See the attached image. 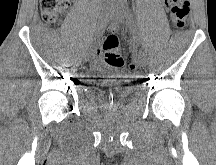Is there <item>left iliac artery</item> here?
Returning a JSON list of instances; mask_svg holds the SVG:
<instances>
[{
  "label": "left iliac artery",
  "mask_w": 216,
  "mask_h": 165,
  "mask_svg": "<svg viewBox=\"0 0 216 165\" xmlns=\"http://www.w3.org/2000/svg\"><path fill=\"white\" fill-rule=\"evenodd\" d=\"M123 6V5H122ZM123 13H124V17L126 19V22L128 23V25L130 26V29L131 31L133 32L134 34V40L139 43L140 39H139V36H138V33H137V29H136V26L134 24V21H133V18H132V15L128 9L127 6H123Z\"/></svg>",
  "instance_id": "1"
}]
</instances>
